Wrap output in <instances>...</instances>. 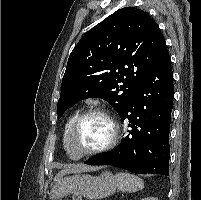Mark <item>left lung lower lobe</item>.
<instances>
[{
	"label": "left lung lower lobe",
	"instance_id": "1",
	"mask_svg": "<svg viewBox=\"0 0 201 200\" xmlns=\"http://www.w3.org/2000/svg\"><path fill=\"white\" fill-rule=\"evenodd\" d=\"M174 86L168 51L129 98L120 114L129 120L126 137L112 151L96 155L89 165H112L138 174H169V131Z\"/></svg>",
	"mask_w": 201,
	"mask_h": 200
}]
</instances>
